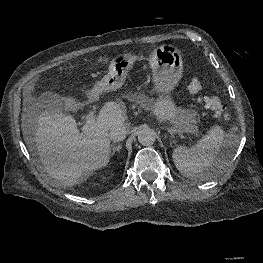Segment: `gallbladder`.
<instances>
[{
	"instance_id": "gallbladder-1",
	"label": "gallbladder",
	"mask_w": 263,
	"mask_h": 263,
	"mask_svg": "<svg viewBox=\"0 0 263 263\" xmlns=\"http://www.w3.org/2000/svg\"><path fill=\"white\" fill-rule=\"evenodd\" d=\"M37 103L41 111H46L49 114H60L64 110L61 96L54 92L43 93Z\"/></svg>"
}]
</instances>
